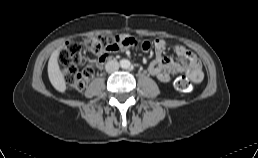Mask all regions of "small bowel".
<instances>
[{"label": "small bowel", "instance_id": "c3829d8e", "mask_svg": "<svg viewBox=\"0 0 258 158\" xmlns=\"http://www.w3.org/2000/svg\"><path fill=\"white\" fill-rule=\"evenodd\" d=\"M129 36V35H125ZM167 42L163 39H156L154 41H144L140 45V49L149 53L155 51L156 58L149 64L148 72L156 77L162 83L171 81L172 75L186 73L194 82H200L203 79L202 66L195 54L189 51L182 45L175 46V52L180 57V62H175L171 58L164 55ZM128 47H122L120 51H125ZM107 57H99L92 62L94 68H101Z\"/></svg>", "mask_w": 258, "mask_h": 158}]
</instances>
